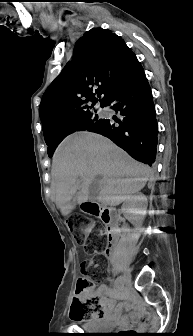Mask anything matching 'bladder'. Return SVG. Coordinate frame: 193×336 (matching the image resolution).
Returning a JSON list of instances; mask_svg holds the SVG:
<instances>
[{
	"mask_svg": "<svg viewBox=\"0 0 193 336\" xmlns=\"http://www.w3.org/2000/svg\"><path fill=\"white\" fill-rule=\"evenodd\" d=\"M102 325H103L102 321L95 320L89 323L86 329L90 331H99V330H102L101 328Z\"/></svg>",
	"mask_w": 193,
	"mask_h": 336,
	"instance_id": "31cf9c89",
	"label": "bladder"
}]
</instances>
